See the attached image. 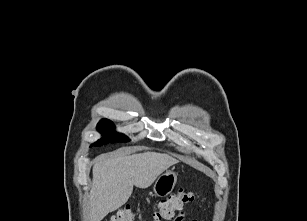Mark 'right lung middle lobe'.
<instances>
[{"instance_id": "right-lung-middle-lobe-1", "label": "right lung middle lobe", "mask_w": 307, "mask_h": 221, "mask_svg": "<svg viewBox=\"0 0 307 221\" xmlns=\"http://www.w3.org/2000/svg\"><path fill=\"white\" fill-rule=\"evenodd\" d=\"M97 130L104 135L101 140L92 144L91 146H101L107 143H115V142H128L129 139L120 133L114 131V124L107 119H102L97 126Z\"/></svg>"}]
</instances>
